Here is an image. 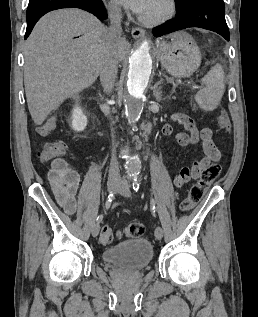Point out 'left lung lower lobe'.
Segmentation results:
<instances>
[{
  "mask_svg": "<svg viewBox=\"0 0 258 317\" xmlns=\"http://www.w3.org/2000/svg\"><path fill=\"white\" fill-rule=\"evenodd\" d=\"M190 27L217 32L229 41L230 34L225 20L223 0H192L180 12L177 11L176 19L154 28L153 34L160 37Z\"/></svg>",
  "mask_w": 258,
  "mask_h": 317,
  "instance_id": "obj_1",
  "label": "left lung lower lobe"
}]
</instances>
